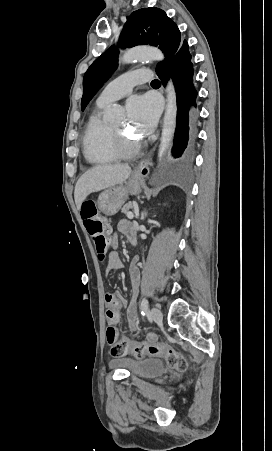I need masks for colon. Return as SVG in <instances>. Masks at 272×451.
Returning <instances> with one entry per match:
<instances>
[{"mask_svg":"<svg viewBox=\"0 0 272 451\" xmlns=\"http://www.w3.org/2000/svg\"><path fill=\"white\" fill-rule=\"evenodd\" d=\"M81 215L85 226L95 244L97 257L100 261L105 260L109 252L108 233L103 230V223L95 203H85L81 207ZM117 330L113 325H106V341L109 346L110 355L119 357L131 351L135 358L140 359V354H163L168 364L178 370L186 368L183 356L173 351L171 345H154L153 342H130V339H116Z\"/></svg>","mask_w":272,"mask_h":451,"instance_id":"colon-1","label":"colon"}]
</instances>
